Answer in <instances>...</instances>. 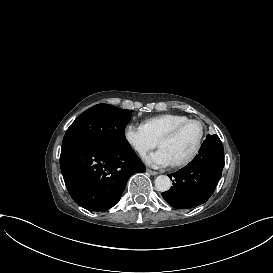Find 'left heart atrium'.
I'll return each instance as SVG.
<instances>
[{"mask_svg": "<svg viewBox=\"0 0 273 273\" xmlns=\"http://www.w3.org/2000/svg\"><path fill=\"white\" fill-rule=\"evenodd\" d=\"M145 162L152 167H163L174 164L166 149L160 148L145 157Z\"/></svg>", "mask_w": 273, "mask_h": 273, "instance_id": "39dd6f15", "label": "left heart atrium"}]
</instances>
